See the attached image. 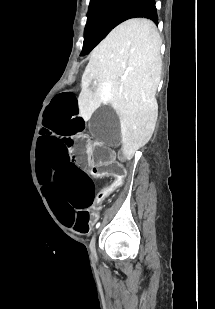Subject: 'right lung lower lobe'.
I'll list each match as a JSON object with an SVG mask.
<instances>
[{"label":"right lung lower lobe","mask_w":215,"mask_h":309,"mask_svg":"<svg viewBox=\"0 0 215 309\" xmlns=\"http://www.w3.org/2000/svg\"><path fill=\"white\" fill-rule=\"evenodd\" d=\"M137 17L150 19L157 24L158 16L155 0H131L118 19L117 25L125 20Z\"/></svg>","instance_id":"1"}]
</instances>
